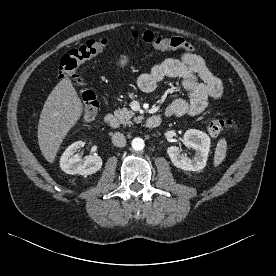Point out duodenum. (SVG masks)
Wrapping results in <instances>:
<instances>
[{"mask_svg": "<svg viewBox=\"0 0 276 276\" xmlns=\"http://www.w3.org/2000/svg\"><path fill=\"white\" fill-rule=\"evenodd\" d=\"M104 120L106 124L113 129H118L120 126V120L111 113L106 114ZM162 120L163 118L161 116L154 115L148 117L145 124L147 128L154 129L161 124Z\"/></svg>", "mask_w": 276, "mask_h": 276, "instance_id": "410a0bca", "label": "duodenum"}]
</instances>
